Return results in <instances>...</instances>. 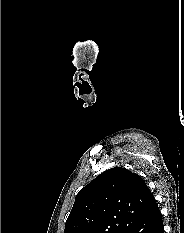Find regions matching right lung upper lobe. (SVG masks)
<instances>
[{"instance_id":"cb5924a9","label":"right lung upper lobe","mask_w":184,"mask_h":233,"mask_svg":"<svg viewBox=\"0 0 184 233\" xmlns=\"http://www.w3.org/2000/svg\"><path fill=\"white\" fill-rule=\"evenodd\" d=\"M156 205L138 174L111 168L76 195L64 233H127Z\"/></svg>"}]
</instances>
